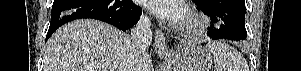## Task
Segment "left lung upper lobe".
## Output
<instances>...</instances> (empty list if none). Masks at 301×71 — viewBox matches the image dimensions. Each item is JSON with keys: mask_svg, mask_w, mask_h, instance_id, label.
Instances as JSON below:
<instances>
[{"mask_svg": "<svg viewBox=\"0 0 301 71\" xmlns=\"http://www.w3.org/2000/svg\"><path fill=\"white\" fill-rule=\"evenodd\" d=\"M193 2L199 3V4H206L208 2V0H193Z\"/></svg>", "mask_w": 301, "mask_h": 71, "instance_id": "1", "label": "left lung upper lobe"}]
</instances>
